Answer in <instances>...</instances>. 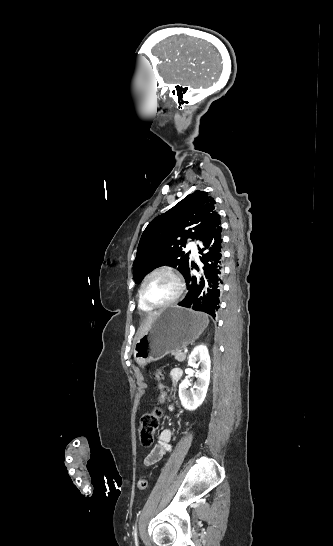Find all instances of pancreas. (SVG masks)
Returning a JSON list of instances; mask_svg holds the SVG:
<instances>
[{
  "instance_id": "cf45deb5",
  "label": "pancreas",
  "mask_w": 333,
  "mask_h": 546,
  "mask_svg": "<svg viewBox=\"0 0 333 546\" xmlns=\"http://www.w3.org/2000/svg\"><path fill=\"white\" fill-rule=\"evenodd\" d=\"M172 355L178 362H183L186 359V353L182 352L181 349L173 351Z\"/></svg>"
}]
</instances>
